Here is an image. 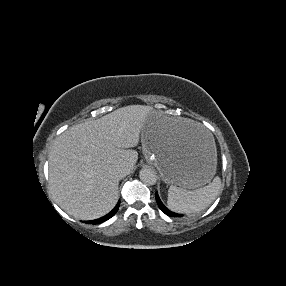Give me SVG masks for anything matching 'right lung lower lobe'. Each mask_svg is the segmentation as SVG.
<instances>
[{"label":"right lung lower lobe","instance_id":"obj_1","mask_svg":"<svg viewBox=\"0 0 286 286\" xmlns=\"http://www.w3.org/2000/svg\"><path fill=\"white\" fill-rule=\"evenodd\" d=\"M119 206H120V201L117 203L115 208L110 213H108L107 215H105V216H103V217H101L99 219H96V220L86 221V223H88V224H99V223H102V222L110 219L112 216L115 215V213L117 212Z\"/></svg>","mask_w":286,"mask_h":286}]
</instances>
